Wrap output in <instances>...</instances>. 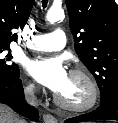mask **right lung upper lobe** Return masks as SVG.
Returning <instances> with one entry per match:
<instances>
[{
	"mask_svg": "<svg viewBox=\"0 0 118 123\" xmlns=\"http://www.w3.org/2000/svg\"><path fill=\"white\" fill-rule=\"evenodd\" d=\"M34 0H0V48H9L17 41L13 29H23L31 12Z\"/></svg>",
	"mask_w": 118,
	"mask_h": 123,
	"instance_id": "cb5924a9",
	"label": "right lung upper lobe"
}]
</instances>
